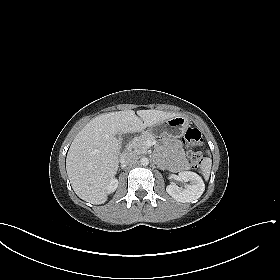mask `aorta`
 <instances>
[{
    "label": "aorta",
    "instance_id": "1",
    "mask_svg": "<svg viewBox=\"0 0 280 280\" xmlns=\"http://www.w3.org/2000/svg\"><path fill=\"white\" fill-rule=\"evenodd\" d=\"M140 163H141V165H143V166H147V165L149 164V160H148L147 157H142V158L140 159Z\"/></svg>",
    "mask_w": 280,
    "mask_h": 280
}]
</instances>
